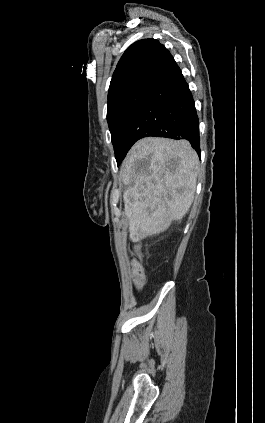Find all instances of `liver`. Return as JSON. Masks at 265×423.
Instances as JSON below:
<instances>
[{
  "label": "liver",
  "instance_id": "liver-1",
  "mask_svg": "<svg viewBox=\"0 0 265 423\" xmlns=\"http://www.w3.org/2000/svg\"><path fill=\"white\" fill-rule=\"evenodd\" d=\"M198 167V155L186 140L147 137L132 147L120 176L133 242L182 220L194 199Z\"/></svg>",
  "mask_w": 265,
  "mask_h": 423
}]
</instances>
